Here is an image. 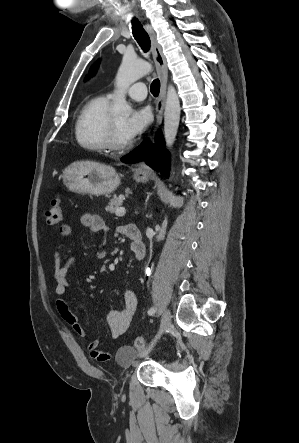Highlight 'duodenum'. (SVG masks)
<instances>
[{"label":"duodenum","mask_w":299,"mask_h":443,"mask_svg":"<svg viewBox=\"0 0 299 443\" xmlns=\"http://www.w3.org/2000/svg\"><path fill=\"white\" fill-rule=\"evenodd\" d=\"M127 237L132 241L131 249L135 255H143L145 253V247L142 242V236L140 230L135 226H129L127 230Z\"/></svg>","instance_id":"410a0bca"}]
</instances>
